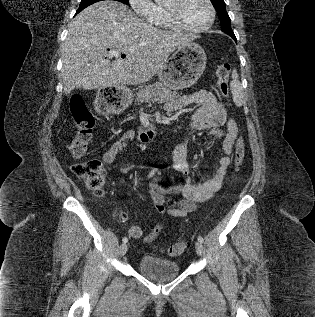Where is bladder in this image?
<instances>
[{
    "label": "bladder",
    "mask_w": 315,
    "mask_h": 317,
    "mask_svg": "<svg viewBox=\"0 0 315 317\" xmlns=\"http://www.w3.org/2000/svg\"><path fill=\"white\" fill-rule=\"evenodd\" d=\"M137 269L143 275L155 280L171 279L180 273V266L177 262L150 255L139 259Z\"/></svg>",
    "instance_id": "31cf9c89"
}]
</instances>
